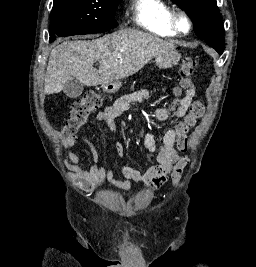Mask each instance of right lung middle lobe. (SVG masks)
Returning <instances> with one entry per match:
<instances>
[{
    "mask_svg": "<svg viewBox=\"0 0 256 267\" xmlns=\"http://www.w3.org/2000/svg\"><path fill=\"white\" fill-rule=\"evenodd\" d=\"M122 0H54L50 42L56 37L91 34L117 26L114 19Z\"/></svg>",
    "mask_w": 256,
    "mask_h": 267,
    "instance_id": "obj_1",
    "label": "right lung middle lobe"
}]
</instances>
